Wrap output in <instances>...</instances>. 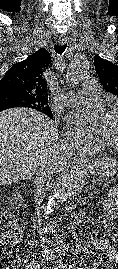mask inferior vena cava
Segmentation results:
<instances>
[{"mask_svg":"<svg viewBox=\"0 0 118 269\" xmlns=\"http://www.w3.org/2000/svg\"><path fill=\"white\" fill-rule=\"evenodd\" d=\"M61 147L62 145H56L53 155L39 164L35 178V186L38 192L43 190L45 184L48 183V181L53 177V174L60 169L62 161L57 155L58 149ZM35 202L38 210L40 204L39 199L36 198ZM37 216L40 218L39 212L37 213Z\"/></svg>","mask_w":118,"mask_h":269,"instance_id":"obj_1","label":"inferior vena cava"}]
</instances>
